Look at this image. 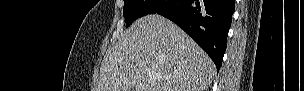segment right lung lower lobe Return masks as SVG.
<instances>
[{"label":"right lung lower lobe","instance_id":"1","mask_svg":"<svg viewBox=\"0 0 304 91\" xmlns=\"http://www.w3.org/2000/svg\"><path fill=\"white\" fill-rule=\"evenodd\" d=\"M234 0H168L151 14L180 26L214 61L219 71L227 46Z\"/></svg>","mask_w":304,"mask_h":91}]
</instances>
